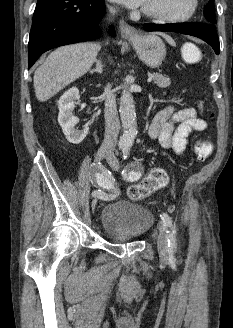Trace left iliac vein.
Listing matches in <instances>:
<instances>
[{"label":"left iliac vein","mask_w":233,"mask_h":328,"mask_svg":"<svg viewBox=\"0 0 233 328\" xmlns=\"http://www.w3.org/2000/svg\"><path fill=\"white\" fill-rule=\"evenodd\" d=\"M106 160L113 170L115 171L119 170V161L112 151H109V153L106 156ZM158 230H159V234L157 238L158 251L162 256H166L168 254V237H167L166 230L161 222L158 223Z\"/></svg>","instance_id":"obj_1"}]
</instances>
